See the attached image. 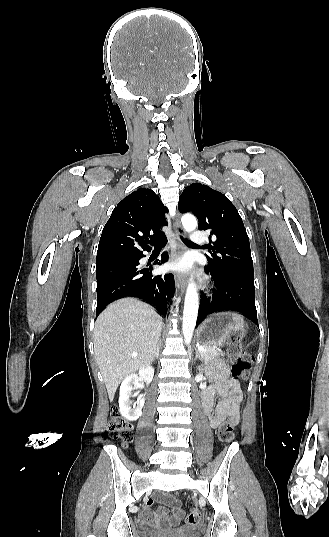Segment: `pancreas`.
<instances>
[{
	"label": "pancreas",
	"instance_id": "1",
	"mask_svg": "<svg viewBox=\"0 0 329 537\" xmlns=\"http://www.w3.org/2000/svg\"><path fill=\"white\" fill-rule=\"evenodd\" d=\"M204 348L205 351L201 352V356L206 362L218 361L220 356H223V352L214 346H205Z\"/></svg>",
	"mask_w": 329,
	"mask_h": 537
}]
</instances>
